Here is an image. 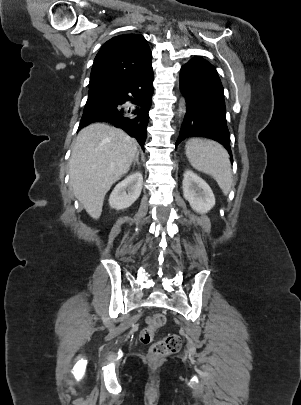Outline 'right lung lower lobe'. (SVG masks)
<instances>
[{
  "label": "right lung lower lobe",
  "mask_w": 301,
  "mask_h": 405,
  "mask_svg": "<svg viewBox=\"0 0 301 405\" xmlns=\"http://www.w3.org/2000/svg\"><path fill=\"white\" fill-rule=\"evenodd\" d=\"M152 62L121 87L108 101L84 109L78 130L93 122H108L135 137L144 149L153 94ZM126 101L133 107H126Z\"/></svg>",
  "instance_id": "right-lung-lower-lobe-1"
}]
</instances>
